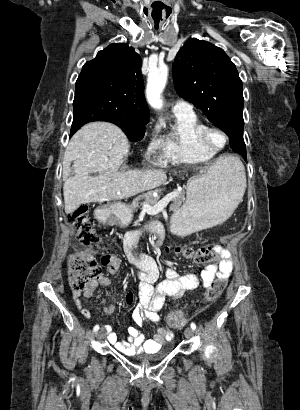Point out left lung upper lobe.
<instances>
[{
  "instance_id": "1",
  "label": "left lung upper lobe",
  "mask_w": 300,
  "mask_h": 410,
  "mask_svg": "<svg viewBox=\"0 0 300 410\" xmlns=\"http://www.w3.org/2000/svg\"><path fill=\"white\" fill-rule=\"evenodd\" d=\"M177 93L200 108L230 138V147L244 158L243 89L235 65L215 45L189 39L173 63Z\"/></svg>"
}]
</instances>
